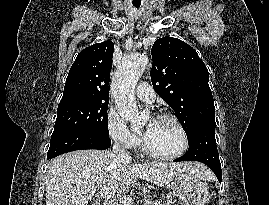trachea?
Returning a JSON list of instances; mask_svg holds the SVG:
<instances>
[{
  "instance_id": "3493384b",
  "label": "trachea",
  "mask_w": 269,
  "mask_h": 205,
  "mask_svg": "<svg viewBox=\"0 0 269 205\" xmlns=\"http://www.w3.org/2000/svg\"><path fill=\"white\" fill-rule=\"evenodd\" d=\"M135 7H139V5H135Z\"/></svg>"
}]
</instances>
